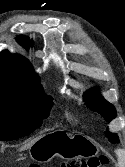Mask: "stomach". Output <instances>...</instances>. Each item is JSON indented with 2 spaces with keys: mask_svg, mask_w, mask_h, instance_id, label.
Here are the masks:
<instances>
[{
  "mask_svg": "<svg viewBox=\"0 0 125 167\" xmlns=\"http://www.w3.org/2000/svg\"><path fill=\"white\" fill-rule=\"evenodd\" d=\"M87 147L96 152V147L86 136L60 130L41 137L30 147L29 153L33 160L46 162L55 156L66 159L86 156L90 153Z\"/></svg>",
  "mask_w": 125,
  "mask_h": 167,
  "instance_id": "0dacf381",
  "label": "stomach"
}]
</instances>
